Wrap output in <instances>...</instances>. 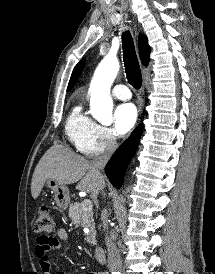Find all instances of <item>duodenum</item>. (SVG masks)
<instances>
[{
	"label": "duodenum",
	"instance_id": "obj_1",
	"mask_svg": "<svg viewBox=\"0 0 215 274\" xmlns=\"http://www.w3.org/2000/svg\"><path fill=\"white\" fill-rule=\"evenodd\" d=\"M95 258L100 264H104L106 262V254L102 247H96Z\"/></svg>",
	"mask_w": 215,
	"mask_h": 274
}]
</instances>
